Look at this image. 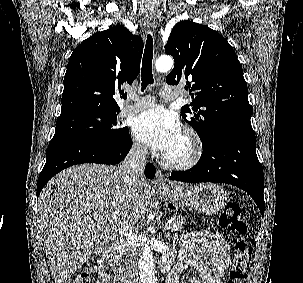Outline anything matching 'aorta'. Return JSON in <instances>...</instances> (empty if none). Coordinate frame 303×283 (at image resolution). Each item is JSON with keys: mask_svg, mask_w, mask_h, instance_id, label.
Segmentation results:
<instances>
[{"mask_svg": "<svg viewBox=\"0 0 303 283\" xmlns=\"http://www.w3.org/2000/svg\"><path fill=\"white\" fill-rule=\"evenodd\" d=\"M158 72H167L173 67V59L170 56H161L155 63ZM140 283H157L155 276L152 248L145 245L139 259Z\"/></svg>", "mask_w": 303, "mask_h": 283, "instance_id": "1", "label": "aorta"}]
</instances>
